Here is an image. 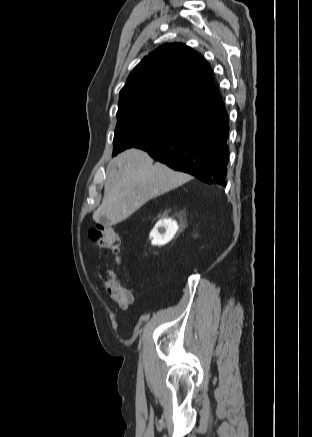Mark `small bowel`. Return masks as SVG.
Listing matches in <instances>:
<instances>
[{
	"mask_svg": "<svg viewBox=\"0 0 312 437\" xmlns=\"http://www.w3.org/2000/svg\"><path fill=\"white\" fill-rule=\"evenodd\" d=\"M131 300H132V297H131ZM131 300H130V302H131ZM113 317H114V319L118 318V311L115 309L113 310Z\"/></svg>",
	"mask_w": 312,
	"mask_h": 437,
	"instance_id": "1",
	"label": "small bowel"
}]
</instances>
